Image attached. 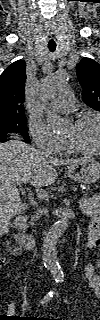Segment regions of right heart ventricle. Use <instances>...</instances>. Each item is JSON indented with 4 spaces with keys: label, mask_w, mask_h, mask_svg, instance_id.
Listing matches in <instances>:
<instances>
[{
    "label": "right heart ventricle",
    "mask_w": 100,
    "mask_h": 320,
    "mask_svg": "<svg viewBox=\"0 0 100 320\" xmlns=\"http://www.w3.org/2000/svg\"><path fill=\"white\" fill-rule=\"evenodd\" d=\"M60 151L62 152H67V153H70L72 152V150L70 148L67 147V145H63L60 149Z\"/></svg>",
    "instance_id": "obj_1"
}]
</instances>
